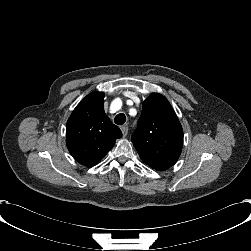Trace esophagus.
Instances as JSON below:
<instances>
[{"label":"esophagus","instance_id":"1","mask_svg":"<svg viewBox=\"0 0 251 251\" xmlns=\"http://www.w3.org/2000/svg\"><path fill=\"white\" fill-rule=\"evenodd\" d=\"M120 129L122 131L123 137H126L128 130H129L128 126H126V125L121 126Z\"/></svg>","mask_w":251,"mask_h":251}]
</instances>
